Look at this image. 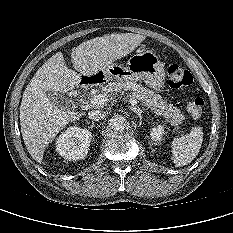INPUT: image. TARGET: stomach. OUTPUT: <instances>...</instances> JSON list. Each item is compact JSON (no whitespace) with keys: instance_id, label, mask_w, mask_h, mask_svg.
<instances>
[{"instance_id":"stomach-1","label":"stomach","mask_w":233,"mask_h":233,"mask_svg":"<svg viewBox=\"0 0 233 233\" xmlns=\"http://www.w3.org/2000/svg\"><path fill=\"white\" fill-rule=\"evenodd\" d=\"M104 80L118 82L143 80L150 88L160 92L165 84L164 65L152 51H139L126 66L112 63L99 72Z\"/></svg>"}]
</instances>
